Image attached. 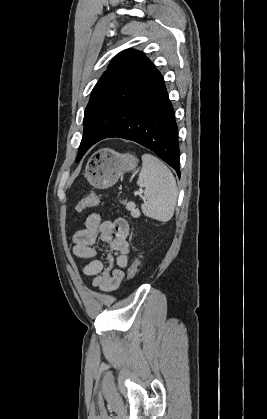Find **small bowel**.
<instances>
[{
  "label": "small bowel",
  "instance_id": "obj_1",
  "mask_svg": "<svg viewBox=\"0 0 267 419\" xmlns=\"http://www.w3.org/2000/svg\"><path fill=\"white\" fill-rule=\"evenodd\" d=\"M129 232V223L124 218L102 222L98 213H92L86 218L85 227L74 234L73 254L89 260L82 273L93 277L94 287L102 291H114L119 287L128 263ZM98 238L108 244L107 266L97 258L95 244Z\"/></svg>",
  "mask_w": 267,
  "mask_h": 419
}]
</instances>
